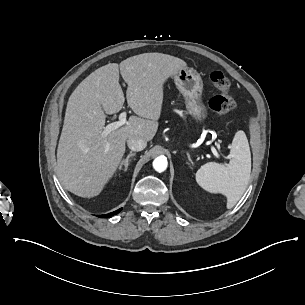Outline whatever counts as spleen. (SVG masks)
<instances>
[{"label": "spleen", "instance_id": "obj_1", "mask_svg": "<svg viewBox=\"0 0 305 305\" xmlns=\"http://www.w3.org/2000/svg\"><path fill=\"white\" fill-rule=\"evenodd\" d=\"M251 174V152L244 131L235 133L230 149V162L222 165L209 162L200 167L196 181L210 193L227 197V208H232L245 192Z\"/></svg>", "mask_w": 305, "mask_h": 305}]
</instances>
